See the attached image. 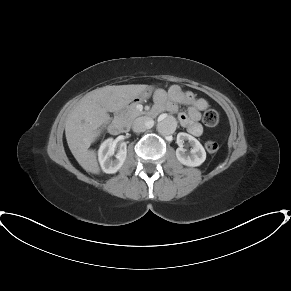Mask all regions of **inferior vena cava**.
Listing matches in <instances>:
<instances>
[{
	"mask_svg": "<svg viewBox=\"0 0 291 291\" xmlns=\"http://www.w3.org/2000/svg\"><path fill=\"white\" fill-rule=\"evenodd\" d=\"M153 126V120L149 117L142 116L135 119L132 123V129L134 132H143Z\"/></svg>",
	"mask_w": 291,
	"mask_h": 291,
	"instance_id": "1",
	"label": "inferior vena cava"
}]
</instances>
